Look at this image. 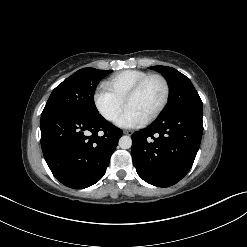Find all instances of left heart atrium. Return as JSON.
Instances as JSON below:
<instances>
[{"label":"left heart atrium","instance_id":"obj_1","mask_svg":"<svg viewBox=\"0 0 247 247\" xmlns=\"http://www.w3.org/2000/svg\"><path fill=\"white\" fill-rule=\"evenodd\" d=\"M146 118L143 117L134 108L126 106L123 113L117 120V124L122 127H138L145 123Z\"/></svg>","mask_w":247,"mask_h":247}]
</instances>
